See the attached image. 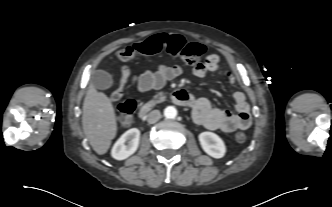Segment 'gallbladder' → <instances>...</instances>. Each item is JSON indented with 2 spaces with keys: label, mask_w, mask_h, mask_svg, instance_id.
Masks as SVG:
<instances>
[{
  "label": "gallbladder",
  "mask_w": 332,
  "mask_h": 207,
  "mask_svg": "<svg viewBox=\"0 0 332 207\" xmlns=\"http://www.w3.org/2000/svg\"><path fill=\"white\" fill-rule=\"evenodd\" d=\"M91 82L95 88L106 90L113 86L112 76L103 70H96L91 78Z\"/></svg>",
  "instance_id": "obj_1"
}]
</instances>
